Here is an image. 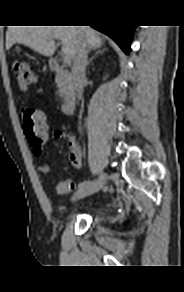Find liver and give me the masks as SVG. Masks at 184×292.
<instances>
[{
    "label": "liver",
    "mask_w": 184,
    "mask_h": 292,
    "mask_svg": "<svg viewBox=\"0 0 184 292\" xmlns=\"http://www.w3.org/2000/svg\"><path fill=\"white\" fill-rule=\"evenodd\" d=\"M84 36L89 48H100L103 39L89 26H10L6 33V48L15 43L52 56L56 50L55 39L62 42V52L72 61Z\"/></svg>",
    "instance_id": "liver-1"
}]
</instances>
